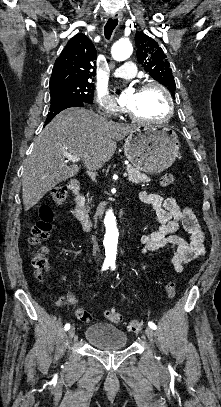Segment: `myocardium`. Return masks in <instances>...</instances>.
<instances>
[{
    "instance_id": "myocardium-1",
    "label": "myocardium",
    "mask_w": 221,
    "mask_h": 407,
    "mask_svg": "<svg viewBox=\"0 0 221 407\" xmlns=\"http://www.w3.org/2000/svg\"><path fill=\"white\" fill-rule=\"evenodd\" d=\"M150 88H158L166 96V99H167V113L163 118L158 119V120L144 119V118H141L140 116H138L131 108H129L127 106H125V111L137 123L150 124V125L164 124V123L168 122L171 119V117H172V115L174 113L173 96H172L170 90L167 87H165L163 84H160L158 82L144 83L139 87V91H146V90H148Z\"/></svg>"
}]
</instances>
